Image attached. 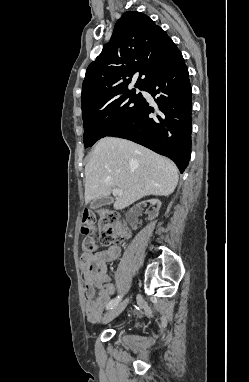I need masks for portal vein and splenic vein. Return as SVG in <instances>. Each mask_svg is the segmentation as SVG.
<instances>
[{
  "label": "portal vein and splenic vein",
  "instance_id": "1",
  "mask_svg": "<svg viewBox=\"0 0 249 382\" xmlns=\"http://www.w3.org/2000/svg\"><path fill=\"white\" fill-rule=\"evenodd\" d=\"M114 196H122V192L118 188L112 190Z\"/></svg>",
  "mask_w": 249,
  "mask_h": 382
}]
</instances>
